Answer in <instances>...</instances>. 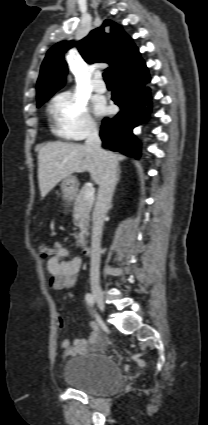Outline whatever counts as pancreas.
<instances>
[{
	"instance_id": "1",
	"label": "pancreas",
	"mask_w": 208,
	"mask_h": 425,
	"mask_svg": "<svg viewBox=\"0 0 208 425\" xmlns=\"http://www.w3.org/2000/svg\"><path fill=\"white\" fill-rule=\"evenodd\" d=\"M87 188V186L82 187L74 202L73 219L75 226L79 229V233H74L77 239V247H83L85 245V237L88 235L90 212L94 201V199L87 200L85 198Z\"/></svg>"
}]
</instances>
